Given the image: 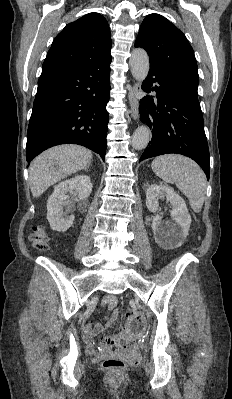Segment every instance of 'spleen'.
Wrapping results in <instances>:
<instances>
[{"mask_svg": "<svg viewBox=\"0 0 232 399\" xmlns=\"http://www.w3.org/2000/svg\"><path fill=\"white\" fill-rule=\"evenodd\" d=\"M151 168L163 182L176 184L178 190L188 198L193 211H201L206 196L207 180L196 162L179 154H166L155 158Z\"/></svg>", "mask_w": 232, "mask_h": 399, "instance_id": "obj_1", "label": "spleen"}]
</instances>
